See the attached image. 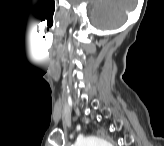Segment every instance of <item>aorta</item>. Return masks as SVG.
Returning <instances> with one entry per match:
<instances>
[{"label": "aorta", "instance_id": "aorta-1", "mask_svg": "<svg viewBox=\"0 0 164 146\" xmlns=\"http://www.w3.org/2000/svg\"><path fill=\"white\" fill-rule=\"evenodd\" d=\"M78 146H108V142L98 137H88L81 140Z\"/></svg>", "mask_w": 164, "mask_h": 146}]
</instances>
